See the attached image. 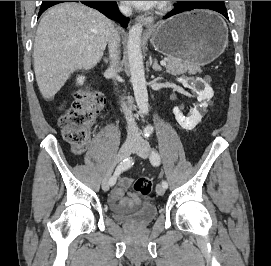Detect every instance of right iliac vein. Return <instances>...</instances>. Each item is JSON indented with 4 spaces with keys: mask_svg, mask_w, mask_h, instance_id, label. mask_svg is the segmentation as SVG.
I'll return each mask as SVG.
<instances>
[{
    "mask_svg": "<svg viewBox=\"0 0 271 266\" xmlns=\"http://www.w3.org/2000/svg\"><path fill=\"white\" fill-rule=\"evenodd\" d=\"M137 147V144L136 143H133V142H126L119 150L118 152V155L116 157V161L115 163L121 161L122 159L128 157L130 155V153L132 151L135 150V148ZM110 178H109V175H107L103 182H102V189L104 191H108L109 188H110Z\"/></svg>",
    "mask_w": 271,
    "mask_h": 266,
    "instance_id": "right-iliac-vein-1",
    "label": "right iliac vein"
}]
</instances>
